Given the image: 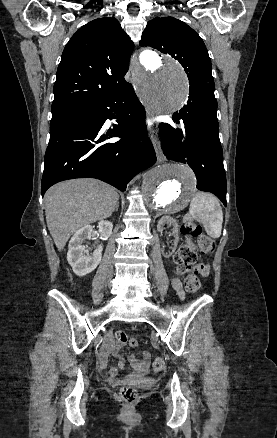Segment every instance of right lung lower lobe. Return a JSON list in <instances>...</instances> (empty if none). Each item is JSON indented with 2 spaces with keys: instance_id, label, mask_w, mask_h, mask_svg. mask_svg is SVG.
<instances>
[{
  "instance_id": "right-lung-lower-lobe-1",
  "label": "right lung lower lobe",
  "mask_w": 277,
  "mask_h": 438,
  "mask_svg": "<svg viewBox=\"0 0 277 438\" xmlns=\"http://www.w3.org/2000/svg\"><path fill=\"white\" fill-rule=\"evenodd\" d=\"M77 66L78 63L71 65ZM113 117L118 125L108 128L105 121ZM144 118V107L132 85L125 83L50 130L42 196L57 182L86 177L125 191L134 175L156 162L153 145L142 124ZM115 137L121 140L115 141Z\"/></svg>"
}]
</instances>
